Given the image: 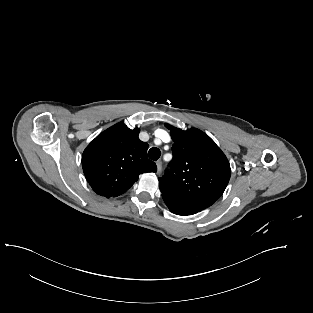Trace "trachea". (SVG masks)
<instances>
[{
	"instance_id": "3493384b",
	"label": "trachea",
	"mask_w": 313,
	"mask_h": 313,
	"mask_svg": "<svg viewBox=\"0 0 313 313\" xmlns=\"http://www.w3.org/2000/svg\"><path fill=\"white\" fill-rule=\"evenodd\" d=\"M160 155H161V152H160V150H159L158 148H156V147H152V148L149 150V152H148L149 158H150L151 160H153V161L158 160L159 157H160Z\"/></svg>"
}]
</instances>
